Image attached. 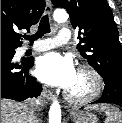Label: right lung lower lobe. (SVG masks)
<instances>
[{
    "instance_id": "1",
    "label": "right lung lower lobe",
    "mask_w": 122,
    "mask_h": 123,
    "mask_svg": "<svg viewBox=\"0 0 122 123\" xmlns=\"http://www.w3.org/2000/svg\"><path fill=\"white\" fill-rule=\"evenodd\" d=\"M15 48H1V98L24 101L41 93L40 84L29 75L33 59L23 64L12 62Z\"/></svg>"
}]
</instances>
